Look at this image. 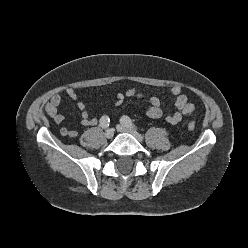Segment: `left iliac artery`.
I'll use <instances>...</instances> for the list:
<instances>
[{"label":"left iliac artery","instance_id":"44dca946","mask_svg":"<svg viewBox=\"0 0 248 248\" xmlns=\"http://www.w3.org/2000/svg\"><path fill=\"white\" fill-rule=\"evenodd\" d=\"M120 121L123 125L138 130V127L132 122V120L128 116H123Z\"/></svg>","mask_w":248,"mask_h":248}]
</instances>
